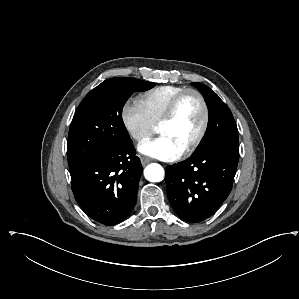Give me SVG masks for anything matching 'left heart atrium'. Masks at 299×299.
<instances>
[{
    "mask_svg": "<svg viewBox=\"0 0 299 299\" xmlns=\"http://www.w3.org/2000/svg\"><path fill=\"white\" fill-rule=\"evenodd\" d=\"M138 150L144 155L167 161L177 159L183 153L181 147L164 135L143 142L139 145Z\"/></svg>",
    "mask_w": 299,
    "mask_h": 299,
    "instance_id": "obj_1",
    "label": "left heart atrium"
}]
</instances>
